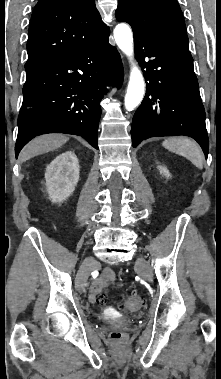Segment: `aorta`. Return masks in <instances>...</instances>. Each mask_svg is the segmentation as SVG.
Instances as JSON below:
<instances>
[{
    "instance_id": "1",
    "label": "aorta",
    "mask_w": 221,
    "mask_h": 379,
    "mask_svg": "<svg viewBox=\"0 0 221 379\" xmlns=\"http://www.w3.org/2000/svg\"><path fill=\"white\" fill-rule=\"evenodd\" d=\"M114 38L117 46L127 55L131 62L130 79L127 92L124 99L126 110L132 111L142 101L145 92V83L143 75L133 60V34L130 27L125 23L116 25L114 29Z\"/></svg>"
}]
</instances>
